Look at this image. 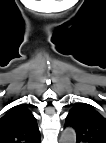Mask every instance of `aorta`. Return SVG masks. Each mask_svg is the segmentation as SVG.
Here are the masks:
<instances>
[{"label":"aorta","mask_w":106,"mask_h":143,"mask_svg":"<svg viewBox=\"0 0 106 143\" xmlns=\"http://www.w3.org/2000/svg\"><path fill=\"white\" fill-rule=\"evenodd\" d=\"M76 142V132L73 128H66L60 137V143H75Z\"/></svg>","instance_id":"aorta-1"}]
</instances>
